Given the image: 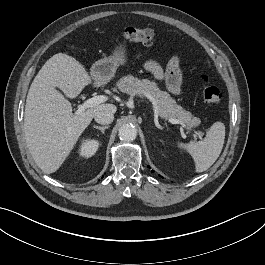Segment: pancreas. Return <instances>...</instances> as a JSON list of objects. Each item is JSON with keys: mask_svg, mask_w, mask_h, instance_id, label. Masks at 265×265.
<instances>
[{"mask_svg": "<svg viewBox=\"0 0 265 265\" xmlns=\"http://www.w3.org/2000/svg\"><path fill=\"white\" fill-rule=\"evenodd\" d=\"M120 91L128 95L149 97L160 115L165 118H174L186 123L188 128L196 127L201 120L194 117L189 111L177 105L167 92L161 91L154 81L138 79L132 75L125 76L117 83Z\"/></svg>", "mask_w": 265, "mask_h": 265, "instance_id": "1", "label": "pancreas"}]
</instances>
